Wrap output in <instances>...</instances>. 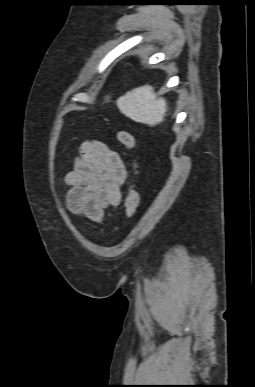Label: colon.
<instances>
[{
  "label": "colon",
  "mask_w": 255,
  "mask_h": 387,
  "mask_svg": "<svg viewBox=\"0 0 255 387\" xmlns=\"http://www.w3.org/2000/svg\"><path fill=\"white\" fill-rule=\"evenodd\" d=\"M117 139L123 144L127 150L132 151L137 142L135 137L128 131L121 130L117 133ZM130 166L134 173H137V163L134 159L130 161ZM139 205V195L136 191L134 184L129 187L127 197L125 199V215L127 218H132L137 211Z\"/></svg>",
  "instance_id": "obj_1"
}]
</instances>
